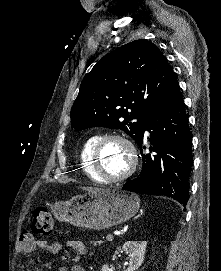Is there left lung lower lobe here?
<instances>
[{"label": "left lung lower lobe", "instance_id": "1", "mask_svg": "<svg viewBox=\"0 0 221 271\" xmlns=\"http://www.w3.org/2000/svg\"><path fill=\"white\" fill-rule=\"evenodd\" d=\"M148 131L150 151L143 154V168L139 176L122 187L124 190L172 197L186 205L189 200V175L192 166V134L181 97L180 87L172 99L152 113L140 129L136 143L140 148Z\"/></svg>", "mask_w": 221, "mask_h": 271}]
</instances>
